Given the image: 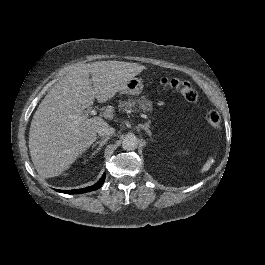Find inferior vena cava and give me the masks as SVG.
Segmentation results:
<instances>
[{
  "label": "inferior vena cava",
  "mask_w": 265,
  "mask_h": 265,
  "mask_svg": "<svg viewBox=\"0 0 265 265\" xmlns=\"http://www.w3.org/2000/svg\"><path fill=\"white\" fill-rule=\"evenodd\" d=\"M115 132L114 128L109 127V125L107 123H105L104 125H102L101 127H99L97 129V133L100 136H104V135H112Z\"/></svg>",
  "instance_id": "602c4592"
}]
</instances>
